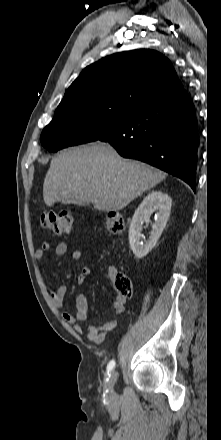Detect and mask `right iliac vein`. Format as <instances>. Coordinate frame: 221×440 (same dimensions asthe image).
Masks as SVG:
<instances>
[{"instance_id":"63e3f726","label":"right iliac vein","mask_w":221,"mask_h":440,"mask_svg":"<svg viewBox=\"0 0 221 440\" xmlns=\"http://www.w3.org/2000/svg\"><path fill=\"white\" fill-rule=\"evenodd\" d=\"M117 376H118L117 372H116V371H113L112 374H111L110 382H109V386H110V388H112L113 385L115 384V382H116V380H117Z\"/></svg>"}]
</instances>
